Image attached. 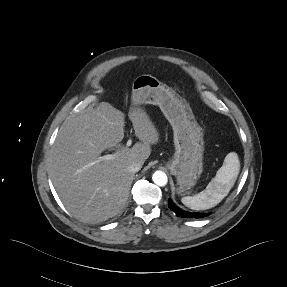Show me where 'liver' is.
Here are the masks:
<instances>
[{"label":"liver","mask_w":287,"mask_h":287,"mask_svg":"<svg viewBox=\"0 0 287 287\" xmlns=\"http://www.w3.org/2000/svg\"><path fill=\"white\" fill-rule=\"evenodd\" d=\"M129 118L140 141L132 148L120 145L124 114L107 102L67 119L58 132L49 158L50 178L64 206L85 223L97 224L121 212L134 179L128 166L143 164L159 140L144 109L130 107ZM113 148L114 159L99 160Z\"/></svg>","instance_id":"obj_1"}]
</instances>
